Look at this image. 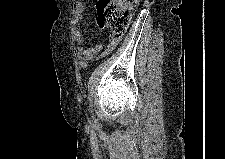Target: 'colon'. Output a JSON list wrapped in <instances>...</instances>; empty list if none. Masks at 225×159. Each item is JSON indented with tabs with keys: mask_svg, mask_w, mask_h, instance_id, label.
<instances>
[{
	"mask_svg": "<svg viewBox=\"0 0 225 159\" xmlns=\"http://www.w3.org/2000/svg\"><path fill=\"white\" fill-rule=\"evenodd\" d=\"M138 0H100V25L110 29L113 37H121L127 30Z\"/></svg>",
	"mask_w": 225,
	"mask_h": 159,
	"instance_id": "5ec220e1",
	"label": "colon"
}]
</instances>
